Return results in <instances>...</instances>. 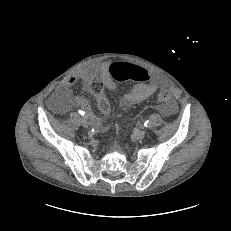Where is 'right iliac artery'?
Segmentation results:
<instances>
[{
  "label": "right iliac artery",
  "instance_id": "obj_1",
  "mask_svg": "<svg viewBox=\"0 0 231 231\" xmlns=\"http://www.w3.org/2000/svg\"><path fill=\"white\" fill-rule=\"evenodd\" d=\"M80 115H82L84 118H88L87 114L83 110H78Z\"/></svg>",
  "mask_w": 231,
  "mask_h": 231
}]
</instances>
